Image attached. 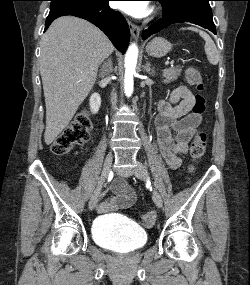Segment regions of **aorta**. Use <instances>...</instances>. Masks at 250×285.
Returning a JSON list of instances; mask_svg holds the SVG:
<instances>
[{"instance_id":"aorta-1","label":"aorta","mask_w":250,"mask_h":285,"mask_svg":"<svg viewBox=\"0 0 250 285\" xmlns=\"http://www.w3.org/2000/svg\"><path fill=\"white\" fill-rule=\"evenodd\" d=\"M138 47L136 44H131L125 55V76H124V91L126 96L130 97L133 93V75L137 65Z\"/></svg>"}]
</instances>
